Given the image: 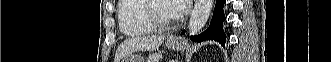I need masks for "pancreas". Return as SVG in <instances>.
<instances>
[{"label": "pancreas", "mask_w": 331, "mask_h": 62, "mask_svg": "<svg viewBox=\"0 0 331 62\" xmlns=\"http://www.w3.org/2000/svg\"><path fill=\"white\" fill-rule=\"evenodd\" d=\"M161 58H162L161 54H153L148 58L147 62H159Z\"/></svg>", "instance_id": "pancreas-1"}]
</instances>
